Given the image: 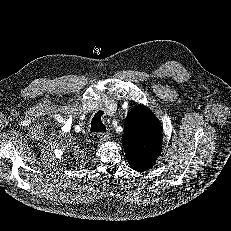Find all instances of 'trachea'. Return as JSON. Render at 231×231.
<instances>
[{
    "mask_svg": "<svg viewBox=\"0 0 231 231\" xmlns=\"http://www.w3.org/2000/svg\"><path fill=\"white\" fill-rule=\"evenodd\" d=\"M102 112H98L94 115L91 121V132H104L106 130L104 124L101 121Z\"/></svg>",
    "mask_w": 231,
    "mask_h": 231,
    "instance_id": "obj_1",
    "label": "trachea"
}]
</instances>
